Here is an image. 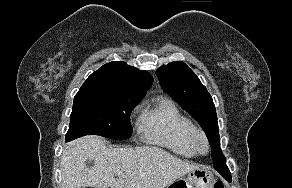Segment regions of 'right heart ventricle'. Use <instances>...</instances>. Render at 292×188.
Listing matches in <instances>:
<instances>
[{
    "label": "right heart ventricle",
    "mask_w": 292,
    "mask_h": 188,
    "mask_svg": "<svg viewBox=\"0 0 292 188\" xmlns=\"http://www.w3.org/2000/svg\"><path fill=\"white\" fill-rule=\"evenodd\" d=\"M141 139L149 144L162 146L183 157H193L189 134L195 127L174 102L163 98L146 107L137 122Z\"/></svg>",
    "instance_id": "e07e8e85"
}]
</instances>
